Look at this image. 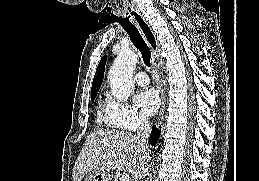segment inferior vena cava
Wrapping results in <instances>:
<instances>
[{
  "instance_id": "602c4592",
  "label": "inferior vena cava",
  "mask_w": 259,
  "mask_h": 181,
  "mask_svg": "<svg viewBox=\"0 0 259 181\" xmlns=\"http://www.w3.org/2000/svg\"><path fill=\"white\" fill-rule=\"evenodd\" d=\"M151 134V124L145 115L139 117V128L137 131V139L144 149L148 148L147 139Z\"/></svg>"
}]
</instances>
